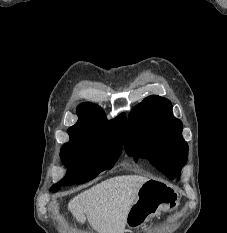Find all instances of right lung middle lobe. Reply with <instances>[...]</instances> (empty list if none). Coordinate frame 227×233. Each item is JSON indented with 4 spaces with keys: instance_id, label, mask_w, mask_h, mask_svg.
Instances as JSON below:
<instances>
[{
    "instance_id": "dd1d6c3e",
    "label": "right lung middle lobe",
    "mask_w": 227,
    "mask_h": 233,
    "mask_svg": "<svg viewBox=\"0 0 227 233\" xmlns=\"http://www.w3.org/2000/svg\"><path fill=\"white\" fill-rule=\"evenodd\" d=\"M122 141L109 138L94 143L70 140L64 144L60 157L68 167L67 175L59 183L51 187L56 192L61 186L80 184L92 180L99 173L111 169L121 154Z\"/></svg>"
}]
</instances>
